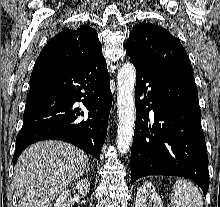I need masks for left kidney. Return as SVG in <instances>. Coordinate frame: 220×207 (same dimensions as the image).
Segmentation results:
<instances>
[{"instance_id": "5707ae66", "label": "left kidney", "mask_w": 220, "mask_h": 207, "mask_svg": "<svg viewBox=\"0 0 220 207\" xmlns=\"http://www.w3.org/2000/svg\"><path fill=\"white\" fill-rule=\"evenodd\" d=\"M148 200L150 204H153V207H163V203L155 187L151 183L145 182L137 190L135 207H147Z\"/></svg>"}]
</instances>
